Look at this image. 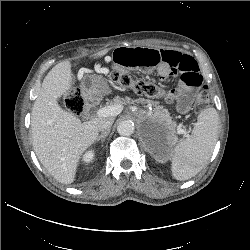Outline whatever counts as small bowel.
Wrapping results in <instances>:
<instances>
[{"instance_id": "c3829d8e", "label": "small bowel", "mask_w": 250, "mask_h": 250, "mask_svg": "<svg viewBox=\"0 0 250 250\" xmlns=\"http://www.w3.org/2000/svg\"><path fill=\"white\" fill-rule=\"evenodd\" d=\"M112 61L116 69L144 75L157 73L162 80L179 76L181 96L177 110L181 113L189 109L194 91L202 85V76L195 59L175 50L119 47L113 52Z\"/></svg>"}]
</instances>
